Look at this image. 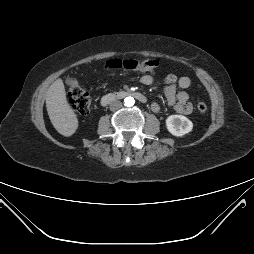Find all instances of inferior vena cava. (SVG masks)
I'll return each mask as SVG.
<instances>
[{"instance_id":"obj_1","label":"inferior vena cava","mask_w":254,"mask_h":254,"mask_svg":"<svg viewBox=\"0 0 254 254\" xmlns=\"http://www.w3.org/2000/svg\"><path fill=\"white\" fill-rule=\"evenodd\" d=\"M122 107V103L120 101H113L111 104H110V110L111 111H115V110H118Z\"/></svg>"}]
</instances>
